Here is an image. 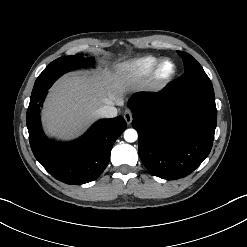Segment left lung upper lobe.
Here are the masks:
<instances>
[{
  "label": "left lung upper lobe",
  "instance_id": "1",
  "mask_svg": "<svg viewBox=\"0 0 247 247\" xmlns=\"http://www.w3.org/2000/svg\"><path fill=\"white\" fill-rule=\"evenodd\" d=\"M182 57L185 72L173 85L177 88H213L201 65L188 53L177 51Z\"/></svg>",
  "mask_w": 247,
  "mask_h": 247
}]
</instances>
